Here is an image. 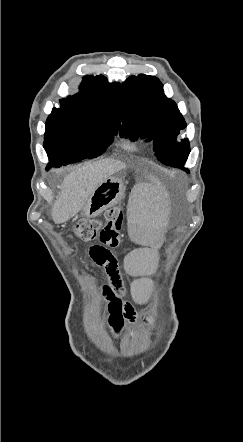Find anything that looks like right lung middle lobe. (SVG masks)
<instances>
[{"label":"right lung middle lobe","instance_id":"right-lung-middle-lobe-1","mask_svg":"<svg viewBox=\"0 0 243 442\" xmlns=\"http://www.w3.org/2000/svg\"><path fill=\"white\" fill-rule=\"evenodd\" d=\"M44 149L58 166L95 158L113 141L119 125L79 116L65 108H53L46 121Z\"/></svg>","mask_w":243,"mask_h":442}]
</instances>
